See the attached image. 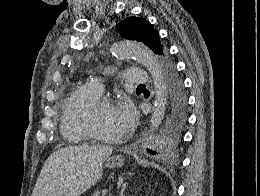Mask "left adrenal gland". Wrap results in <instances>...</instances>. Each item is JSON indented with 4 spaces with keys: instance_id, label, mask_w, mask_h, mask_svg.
Segmentation results:
<instances>
[{
    "instance_id": "1",
    "label": "left adrenal gland",
    "mask_w": 260,
    "mask_h": 196,
    "mask_svg": "<svg viewBox=\"0 0 260 196\" xmlns=\"http://www.w3.org/2000/svg\"><path fill=\"white\" fill-rule=\"evenodd\" d=\"M125 188H126V186H125V184H124V186H122V188H121V190H120L119 196H124Z\"/></svg>"
}]
</instances>
